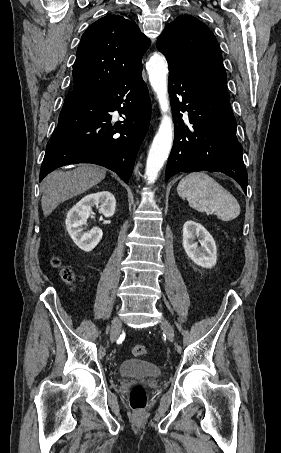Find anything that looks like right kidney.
I'll use <instances>...</instances> for the list:
<instances>
[{"mask_svg": "<svg viewBox=\"0 0 281 453\" xmlns=\"http://www.w3.org/2000/svg\"><path fill=\"white\" fill-rule=\"evenodd\" d=\"M91 206H97L104 216H113L116 206V198L109 190L86 194L79 202H76L67 212L66 229L75 245L82 251H93L102 239V231L93 227L91 231L84 233L83 224H87V218L92 212Z\"/></svg>", "mask_w": 281, "mask_h": 453, "instance_id": "right-kidney-1", "label": "right kidney"}]
</instances>
